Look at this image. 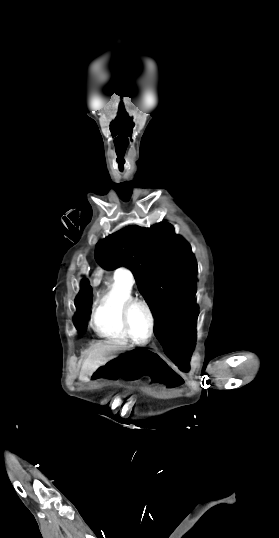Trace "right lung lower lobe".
Instances as JSON below:
<instances>
[{
	"label": "right lung lower lobe",
	"instance_id": "1",
	"mask_svg": "<svg viewBox=\"0 0 279 538\" xmlns=\"http://www.w3.org/2000/svg\"><path fill=\"white\" fill-rule=\"evenodd\" d=\"M93 298L92 288L87 279L81 282V291L75 299L77 314L74 319V324L78 330L85 331L87 327V309Z\"/></svg>",
	"mask_w": 279,
	"mask_h": 538
}]
</instances>
